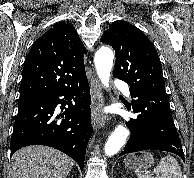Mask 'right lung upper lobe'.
I'll return each instance as SVG.
<instances>
[{"mask_svg":"<svg viewBox=\"0 0 194 178\" xmlns=\"http://www.w3.org/2000/svg\"><path fill=\"white\" fill-rule=\"evenodd\" d=\"M85 52L71 24H55L32 45L25 59L19 99L75 86L85 80Z\"/></svg>","mask_w":194,"mask_h":178,"instance_id":"cb5924a9","label":"right lung upper lobe"}]
</instances>
